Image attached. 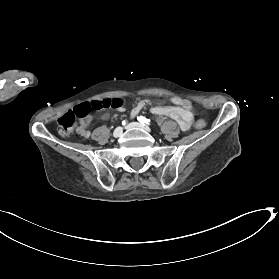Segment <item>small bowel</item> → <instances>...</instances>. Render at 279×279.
Masks as SVG:
<instances>
[{
	"label": "small bowel",
	"instance_id": "c3829d8e",
	"mask_svg": "<svg viewBox=\"0 0 279 279\" xmlns=\"http://www.w3.org/2000/svg\"><path fill=\"white\" fill-rule=\"evenodd\" d=\"M173 106H154L151 109V112L157 116H167L174 119L181 130L187 131L190 129L192 124V114L187 111L180 103L179 98L175 97L172 99ZM151 103L150 100L144 99L139 101L131 110V117L135 118L138 113L147 105ZM117 111L123 112L125 109L123 106L116 108ZM108 117L107 114L103 115V118L106 119ZM91 122V117H85L82 122L81 126L78 128V133L83 137H89L90 132L87 129Z\"/></svg>",
	"mask_w": 279,
	"mask_h": 279
}]
</instances>
